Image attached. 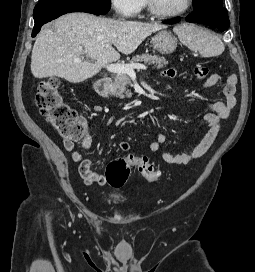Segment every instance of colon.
<instances>
[{"instance_id": "obj_1", "label": "colon", "mask_w": 255, "mask_h": 272, "mask_svg": "<svg viewBox=\"0 0 255 272\" xmlns=\"http://www.w3.org/2000/svg\"><path fill=\"white\" fill-rule=\"evenodd\" d=\"M195 76L199 80L205 79L209 68L200 66L195 68ZM35 102L41 114L50 123L65 144H73L86 134V126L79 120L76 112L64 101L61 94V83L57 78L42 80L36 91ZM135 167L149 182H157L159 172L146 156L130 155L126 158L112 160L106 169V179L112 187H122Z\"/></svg>"}]
</instances>
